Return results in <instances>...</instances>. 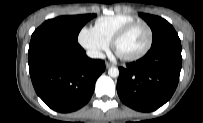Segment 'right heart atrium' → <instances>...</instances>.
<instances>
[{"label": "right heart atrium", "mask_w": 203, "mask_h": 123, "mask_svg": "<svg viewBox=\"0 0 203 123\" xmlns=\"http://www.w3.org/2000/svg\"><path fill=\"white\" fill-rule=\"evenodd\" d=\"M78 42L95 58H101L109 48V43L92 27H83L80 30L78 34Z\"/></svg>", "instance_id": "d8ad5b80"}]
</instances>
